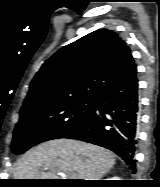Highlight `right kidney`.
Returning <instances> with one entry per match:
<instances>
[{"mask_svg": "<svg viewBox=\"0 0 160 187\" xmlns=\"http://www.w3.org/2000/svg\"><path fill=\"white\" fill-rule=\"evenodd\" d=\"M107 180H119V178L113 177V178H109V179H107Z\"/></svg>", "mask_w": 160, "mask_h": 187, "instance_id": "1", "label": "right kidney"}]
</instances>
